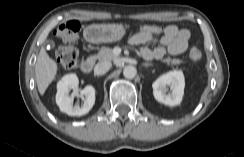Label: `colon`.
<instances>
[{"instance_id": "5ec220e1", "label": "colon", "mask_w": 244, "mask_h": 157, "mask_svg": "<svg viewBox=\"0 0 244 157\" xmlns=\"http://www.w3.org/2000/svg\"><path fill=\"white\" fill-rule=\"evenodd\" d=\"M80 24L76 20H70L62 23L55 30V37L60 41V45L55 51L56 62L64 69L71 70L75 68L78 60V52L74 46L78 39ZM164 31L163 27L157 24H144L140 26L138 33L158 35ZM202 52L198 47H193L190 51V57L193 60H199Z\"/></svg>"}]
</instances>
